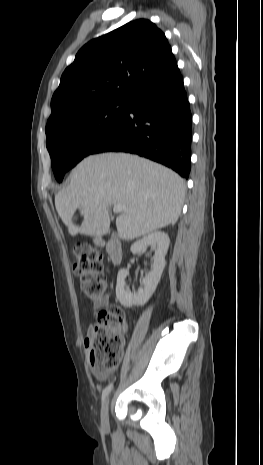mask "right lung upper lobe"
<instances>
[{"label":"right lung upper lobe","mask_w":263,"mask_h":465,"mask_svg":"<svg viewBox=\"0 0 263 465\" xmlns=\"http://www.w3.org/2000/svg\"><path fill=\"white\" fill-rule=\"evenodd\" d=\"M176 66L164 33L147 19L131 21L79 50L53 94L48 122L97 101L129 99Z\"/></svg>","instance_id":"1"}]
</instances>
